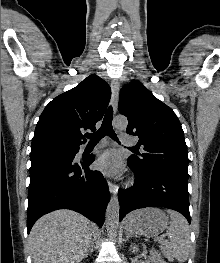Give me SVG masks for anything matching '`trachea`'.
<instances>
[{
  "mask_svg": "<svg viewBox=\"0 0 220 263\" xmlns=\"http://www.w3.org/2000/svg\"><path fill=\"white\" fill-rule=\"evenodd\" d=\"M112 118H113V109L111 106H109L104 116L100 129L94 133L86 135V137L90 139L89 141L90 143H97L106 135L112 138L114 141L118 142V138L112 127Z\"/></svg>",
  "mask_w": 220,
  "mask_h": 263,
  "instance_id": "1",
  "label": "trachea"
}]
</instances>
